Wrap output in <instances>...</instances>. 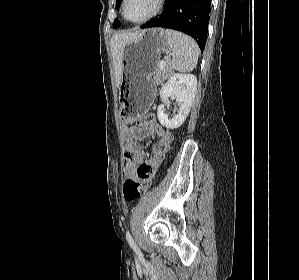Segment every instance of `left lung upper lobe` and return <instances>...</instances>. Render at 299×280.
<instances>
[{"label": "left lung upper lobe", "instance_id": "obj_1", "mask_svg": "<svg viewBox=\"0 0 299 280\" xmlns=\"http://www.w3.org/2000/svg\"><path fill=\"white\" fill-rule=\"evenodd\" d=\"M121 1L122 0H116V8L118 9L119 7H120V4H121ZM120 26V22L117 20V19H115L114 20V23H113V27L114 28H117V27H119Z\"/></svg>", "mask_w": 299, "mask_h": 280}]
</instances>
